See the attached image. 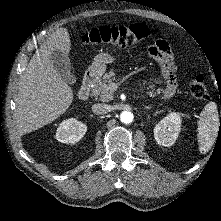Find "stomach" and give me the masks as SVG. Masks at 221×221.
Listing matches in <instances>:
<instances>
[{
	"instance_id": "1",
	"label": "stomach",
	"mask_w": 221,
	"mask_h": 221,
	"mask_svg": "<svg viewBox=\"0 0 221 221\" xmlns=\"http://www.w3.org/2000/svg\"><path fill=\"white\" fill-rule=\"evenodd\" d=\"M114 62L113 56L108 53L98 54L92 64L89 66L88 71L90 74L100 77L106 71V65Z\"/></svg>"
}]
</instances>
